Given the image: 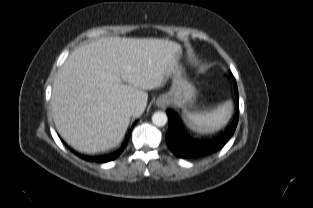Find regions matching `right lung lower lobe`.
<instances>
[{"instance_id":"1","label":"right lung lower lobe","mask_w":313,"mask_h":208,"mask_svg":"<svg viewBox=\"0 0 313 208\" xmlns=\"http://www.w3.org/2000/svg\"><path fill=\"white\" fill-rule=\"evenodd\" d=\"M126 145H127V141L125 142V144L123 145L122 148H120L116 152L109 154V155L97 156V157L84 156V155H81L78 153H77V155L80 156L81 158L87 160V161L107 162V161H111V160H114L115 158H117L121 154V152L125 149Z\"/></svg>"}]
</instances>
